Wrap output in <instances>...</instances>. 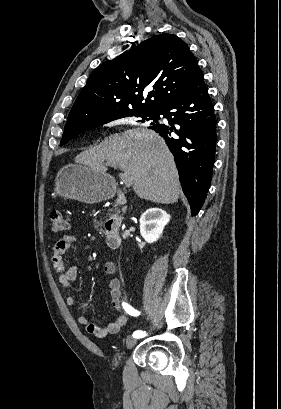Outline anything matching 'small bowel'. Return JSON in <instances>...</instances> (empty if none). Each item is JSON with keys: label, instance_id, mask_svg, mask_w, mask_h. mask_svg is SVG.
I'll return each instance as SVG.
<instances>
[{"label": "small bowel", "instance_id": "1", "mask_svg": "<svg viewBox=\"0 0 281 409\" xmlns=\"http://www.w3.org/2000/svg\"><path fill=\"white\" fill-rule=\"evenodd\" d=\"M76 242V236L74 234H66L61 237L55 244L52 256V262L55 270L58 273V280L62 288L66 292V303L69 307L77 308V301L75 297L69 292L71 283L77 278L78 269L72 265L66 267L63 261V255L73 246ZM103 271L106 275L111 276L116 271L114 262L107 261L104 264ZM108 291L111 297V304L117 312L122 310V283L119 279H110L108 281ZM77 322L84 327L85 331L95 337L102 338L108 334H116L126 323V317L122 314H118L114 319L106 326H100L98 324L90 322L89 318L85 314H78Z\"/></svg>", "mask_w": 281, "mask_h": 409}]
</instances>
